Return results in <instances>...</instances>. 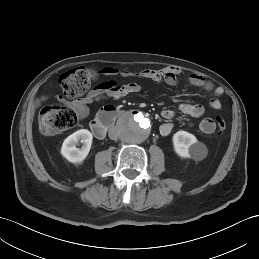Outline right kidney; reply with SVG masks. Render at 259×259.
Segmentation results:
<instances>
[{"instance_id": "right-kidney-1", "label": "right kidney", "mask_w": 259, "mask_h": 259, "mask_svg": "<svg viewBox=\"0 0 259 259\" xmlns=\"http://www.w3.org/2000/svg\"><path fill=\"white\" fill-rule=\"evenodd\" d=\"M92 139L93 136L89 130L80 129L64 140L60 152L69 162L79 164L87 157ZM78 142L82 143L81 148L76 147Z\"/></svg>"}]
</instances>
